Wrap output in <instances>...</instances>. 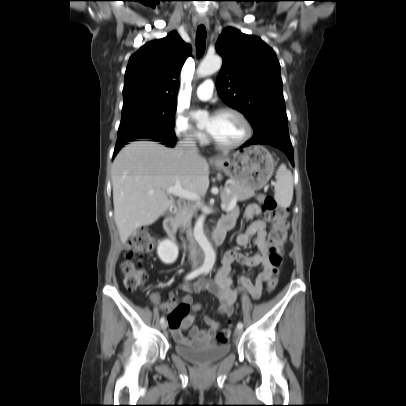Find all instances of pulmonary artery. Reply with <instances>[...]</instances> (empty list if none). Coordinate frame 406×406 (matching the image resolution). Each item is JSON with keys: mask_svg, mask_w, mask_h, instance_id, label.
Here are the masks:
<instances>
[{"mask_svg": "<svg viewBox=\"0 0 406 406\" xmlns=\"http://www.w3.org/2000/svg\"><path fill=\"white\" fill-rule=\"evenodd\" d=\"M214 90V83L212 80H205L202 82L195 91V95L201 100H208L211 98Z\"/></svg>", "mask_w": 406, "mask_h": 406, "instance_id": "e3ab8cb5", "label": "pulmonary artery"}]
</instances>
